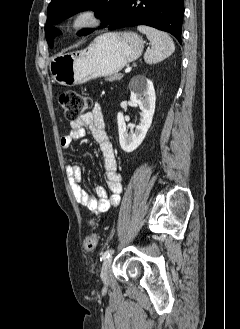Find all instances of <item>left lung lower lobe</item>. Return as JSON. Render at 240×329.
I'll return each instance as SVG.
<instances>
[{
	"mask_svg": "<svg viewBox=\"0 0 240 329\" xmlns=\"http://www.w3.org/2000/svg\"><path fill=\"white\" fill-rule=\"evenodd\" d=\"M126 0L108 29L147 25L172 34L181 43L184 0Z\"/></svg>",
	"mask_w": 240,
	"mask_h": 329,
	"instance_id": "obj_1",
	"label": "left lung lower lobe"
}]
</instances>
